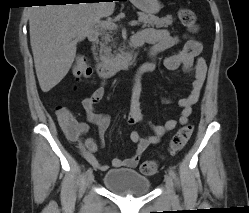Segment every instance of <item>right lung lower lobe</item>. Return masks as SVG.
I'll list each match as a JSON object with an SVG mask.
<instances>
[{
	"mask_svg": "<svg viewBox=\"0 0 249 213\" xmlns=\"http://www.w3.org/2000/svg\"><path fill=\"white\" fill-rule=\"evenodd\" d=\"M45 2H48V3H55V4H66V3H78L82 0H44ZM110 1H113V0H110ZM43 2V3H45Z\"/></svg>",
	"mask_w": 249,
	"mask_h": 213,
	"instance_id": "98d812e1",
	"label": "right lung lower lobe"
}]
</instances>
